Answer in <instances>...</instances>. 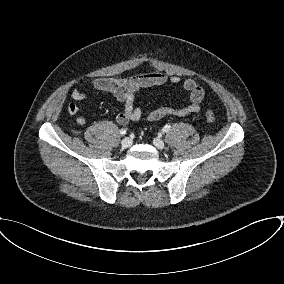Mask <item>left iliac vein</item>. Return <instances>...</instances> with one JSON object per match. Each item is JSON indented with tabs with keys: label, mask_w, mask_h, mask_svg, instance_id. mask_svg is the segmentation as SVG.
<instances>
[{
	"label": "left iliac vein",
	"mask_w": 284,
	"mask_h": 284,
	"mask_svg": "<svg viewBox=\"0 0 284 284\" xmlns=\"http://www.w3.org/2000/svg\"><path fill=\"white\" fill-rule=\"evenodd\" d=\"M153 144L158 148V149H163L165 146V143L162 139L160 138H155L153 140Z\"/></svg>",
	"instance_id": "1"
}]
</instances>
